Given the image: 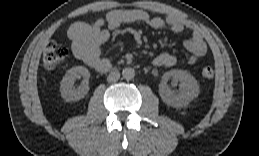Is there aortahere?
Listing matches in <instances>:
<instances>
[{
    "label": "aorta",
    "instance_id": "obj_1",
    "mask_svg": "<svg viewBox=\"0 0 259 156\" xmlns=\"http://www.w3.org/2000/svg\"><path fill=\"white\" fill-rule=\"evenodd\" d=\"M122 76L126 80H132L135 76V70L133 68H125L122 71Z\"/></svg>",
    "mask_w": 259,
    "mask_h": 156
}]
</instances>
